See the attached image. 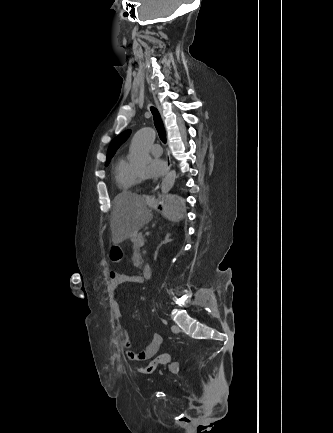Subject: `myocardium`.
<instances>
[{
    "label": "myocardium",
    "instance_id": "myocardium-1",
    "mask_svg": "<svg viewBox=\"0 0 333 433\" xmlns=\"http://www.w3.org/2000/svg\"><path fill=\"white\" fill-rule=\"evenodd\" d=\"M137 179L140 180L142 178V173L136 169Z\"/></svg>",
    "mask_w": 333,
    "mask_h": 433
}]
</instances>
